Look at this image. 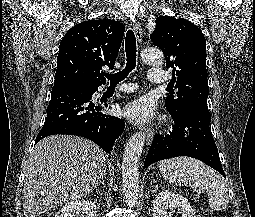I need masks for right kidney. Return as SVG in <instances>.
<instances>
[{
    "mask_svg": "<svg viewBox=\"0 0 255 217\" xmlns=\"http://www.w3.org/2000/svg\"><path fill=\"white\" fill-rule=\"evenodd\" d=\"M96 217V205L87 200H73L64 205L55 217Z\"/></svg>",
    "mask_w": 255,
    "mask_h": 217,
    "instance_id": "obj_1",
    "label": "right kidney"
}]
</instances>
